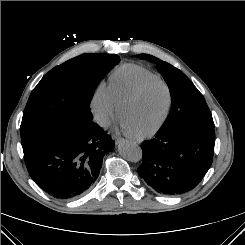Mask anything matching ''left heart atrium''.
<instances>
[{
	"mask_svg": "<svg viewBox=\"0 0 245 245\" xmlns=\"http://www.w3.org/2000/svg\"><path fill=\"white\" fill-rule=\"evenodd\" d=\"M121 127L130 135H135L136 133L128 126L126 121L123 119V117L120 120Z\"/></svg>",
	"mask_w": 245,
	"mask_h": 245,
	"instance_id": "left-heart-atrium-1",
	"label": "left heart atrium"
}]
</instances>
